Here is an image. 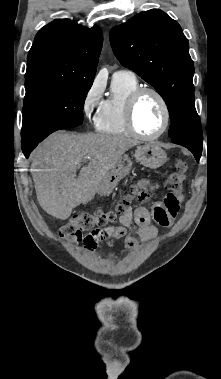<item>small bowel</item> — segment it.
<instances>
[{
	"mask_svg": "<svg viewBox=\"0 0 221 379\" xmlns=\"http://www.w3.org/2000/svg\"><path fill=\"white\" fill-rule=\"evenodd\" d=\"M156 188V185L149 179H142L137 183V197L140 201L148 197V191ZM183 196L181 190H166L164 200L157 203L149 210L140 206L133 210L128 208L119 218V225L106 226L96 232L91 233L84 245L88 250H94L99 243L105 239L124 238L129 249H136L139 241L146 243L158 235V229L152 224L154 221L164 227L170 226L175 219ZM164 220V221H161Z\"/></svg>",
	"mask_w": 221,
	"mask_h": 379,
	"instance_id": "obj_1",
	"label": "small bowel"
}]
</instances>
